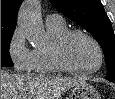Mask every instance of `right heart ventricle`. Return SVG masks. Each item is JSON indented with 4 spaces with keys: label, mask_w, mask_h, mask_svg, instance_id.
<instances>
[{
    "label": "right heart ventricle",
    "mask_w": 115,
    "mask_h": 99,
    "mask_svg": "<svg viewBox=\"0 0 115 99\" xmlns=\"http://www.w3.org/2000/svg\"><path fill=\"white\" fill-rule=\"evenodd\" d=\"M48 43L43 47L32 50V62L30 70L35 74H51L61 71L52 58V48L55 41L68 30L64 21L46 22Z\"/></svg>",
    "instance_id": "1"
}]
</instances>
